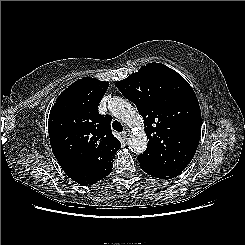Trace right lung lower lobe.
<instances>
[{
    "label": "right lung lower lobe",
    "instance_id": "right-lung-lower-lobe-1",
    "mask_svg": "<svg viewBox=\"0 0 245 245\" xmlns=\"http://www.w3.org/2000/svg\"><path fill=\"white\" fill-rule=\"evenodd\" d=\"M112 167H113V159H111L110 161H106V163H104L100 169H102V174H103V178H105L106 176H108L111 171H112ZM64 172L66 173L67 176H69L72 180H74L75 182L79 183V177L76 174V171L72 168L69 167H63Z\"/></svg>",
    "mask_w": 245,
    "mask_h": 245
}]
</instances>
